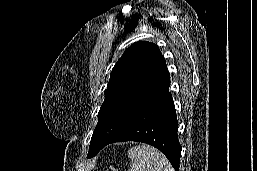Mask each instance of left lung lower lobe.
Returning a JSON list of instances; mask_svg holds the SVG:
<instances>
[{"label": "left lung lower lobe", "instance_id": "left-lung-lower-lobe-1", "mask_svg": "<svg viewBox=\"0 0 257 171\" xmlns=\"http://www.w3.org/2000/svg\"><path fill=\"white\" fill-rule=\"evenodd\" d=\"M170 76L157 94L136 114L130 123L113 139L92 153V158L106 145L114 142L138 141L159 149L179 171L181 145L178 141V120L172 95L169 92Z\"/></svg>", "mask_w": 257, "mask_h": 171}]
</instances>
